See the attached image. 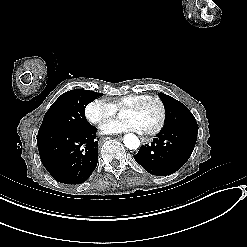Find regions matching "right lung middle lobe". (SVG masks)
<instances>
[{"label":"right lung middle lobe","instance_id":"obj_1","mask_svg":"<svg viewBox=\"0 0 247 247\" xmlns=\"http://www.w3.org/2000/svg\"><path fill=\"white\" fill-rule=\"evenodd\" d=\"M100 93L74 89L62 94L48 109L38 136L53 131L77 130L90 125L84 117L85 107Z\"/></svg>","mask_w":247,"mask_h":247}]
</instances>
